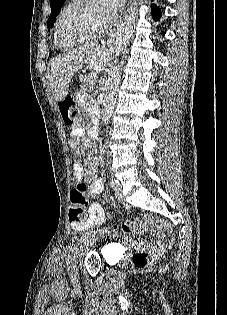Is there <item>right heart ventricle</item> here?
Segmentation results:
<instances>
[{"label":"right heart ventricle","instance_id":"1","mask_svg":"<svg viewBox=\"0 0 227 315\" xmlns=\"http://www.w3.org/2000/svg\"><path fill=\"white\" fill-rule=\"evenodd\" d=\"M75 2V0H69L68 3L63 7V9L61 10L58 20L61 18V16L65 13V11ZM54 44L58 49H63V47H61L60 45H58L56 39L54 38Z\"/></svg>","mask_w":227,"mask_h":315}]
</instances>
